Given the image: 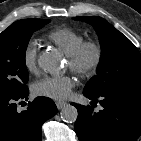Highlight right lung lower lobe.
<instances>
[{"label":"right lung lower lobe","instance_id":"right-lung-lower-lobe-1","mask_svg":"<svg viewBox=\"0 0 141 141\" xmlns=\"http://www.w3.org/2000/svg\"><path fill=\"white\" fill-rule=\"evenodd\" d=\"M28 94L29 90L0 95V141H41L42 124L57 113V108L50 98L41 96L18 112L16 103L27 100Z\"/></svg>","mask_w":141,"mask_h":141}]
</instances>
